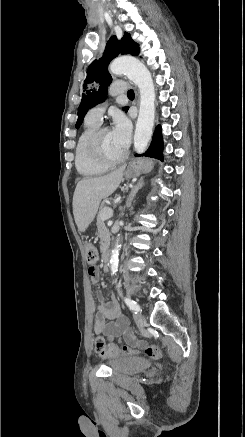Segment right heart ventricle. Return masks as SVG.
Returning <instances> with one entry per match:
<instances>
[{"label": "right heart ventricle", "mask_w": 245, "mask_h": 437, "mask_svg": "<svg viewBox=\"0 0 245 437\" xmlns=\"http://www.w3.org/2000/svg\"><path fill=\"white\" fill-rule=\"evenodd\" d=\"M98 127L99 123L86 118L76 142L75 166L77 171L83 176H99L106 173L110 168V166L100 164L93 160L87 151L88 138Z\"/></svg>", "instance_id": "e07e8e85"}]
</instances>
